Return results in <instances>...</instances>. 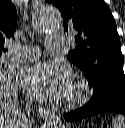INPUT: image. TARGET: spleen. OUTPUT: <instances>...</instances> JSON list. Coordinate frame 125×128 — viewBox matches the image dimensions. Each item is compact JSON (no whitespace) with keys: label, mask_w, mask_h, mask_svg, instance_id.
I'll return each instance as SVG.
<instances>
[{"label":"spleen","mask_w":125,"mask_h":128,"mask_svg":"<svg viewBox=\"0 0 125 128\" xmlns=\"http://www.w3.org/2000/svg\"><path fill=\"white\" fill-rule=\"evenodd\" d=\"M112 128H125V117L124 116L116 117L113 122Z\"/></svg>","instance_id":"1"}]
</instances>
